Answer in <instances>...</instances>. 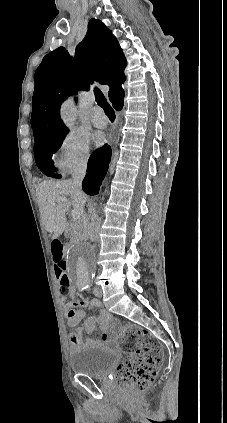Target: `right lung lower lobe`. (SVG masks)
<instances>
[{
	"instance_id": "right-lung-lower-lobe-1",
	"label": "right lung lower lobe",
	"mask_w": 227,
	"mask_h": 423,
	"mask_svg": "<svg viewBox=\"0 0 227 423\" xmlns=\"http://www.w3.org/2000/svg\"><path fill=\"white\" fill-rule=\"evenodd\" d=\"M113 107L119 111L123 107V101L116 103ZM111 158V149L109 145L93 152L89 158L87 175L82 182L83 190L89 195H96L99 191L102 180L104 179L109 167Z\"/></svg>"
}]
</instances>
